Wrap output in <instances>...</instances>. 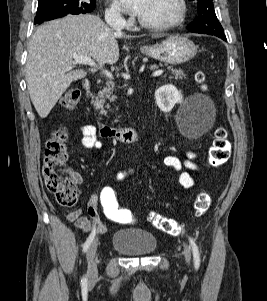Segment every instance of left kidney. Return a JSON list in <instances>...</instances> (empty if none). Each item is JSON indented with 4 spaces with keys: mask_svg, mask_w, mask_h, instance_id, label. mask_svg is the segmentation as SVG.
Returning a JSON list of instances; mask_svg holds the SVG:
<instances>
[{
    "mask_svg": "<svg viewBox=\"0 0 267 301\" xmlns=\"http://www.w3.org/2000/svg\"><path fill=\"white\" fill-rule=\"evenodd\" d=\"M155 99L163 112H170L175 104L182 101V94L174 85L168 84L155 91Z\"/></svg>",
    "mask_w": 267,
    "mask_h": 301,
    "instance_id": "obj_1",
    "label": "left kidney"
}]
</instances>
